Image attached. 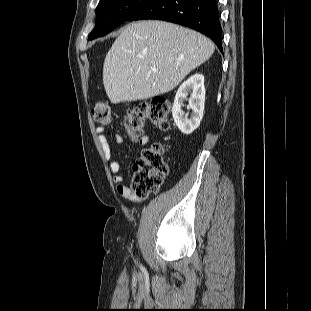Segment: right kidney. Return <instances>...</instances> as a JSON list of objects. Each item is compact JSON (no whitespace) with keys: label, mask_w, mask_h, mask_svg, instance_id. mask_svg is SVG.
<instances>
[{"label":"right kidney","mask_w":311,"mask_h":311,"mask_svg":"<svg viewBox=\"0 0 311 311\" xmlns=\"http://www.w3.org/2000/svg\"><path fill=\"white\" fill-rule=\"evenodd\" d=\"M191 94L189 99V108L192 110L191 117L184 116L182 107L183 102L188 94ZM205 103V87L204 76L202 74H194L182 83L179 87L172 107V115L176 126L183 134H191L200 125L203 117Z\"/></svg>","instance_id":"1"}]
</instances>
